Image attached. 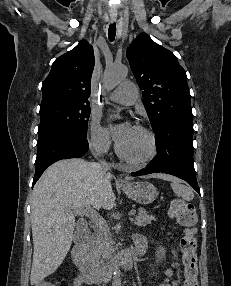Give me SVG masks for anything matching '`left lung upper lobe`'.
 <instances>
[{"instance_id":"5c2ea615","label":"left lung upper lobe","mask_w":231,"mask_h":286,"mask_svg":"<svg viewBox=\"0 0 231 286\" xmlns=\"http://www.w3.org/2000/svg\"><path fill=\"white\" fill-rule=\"evenodd\" d=\"M127 58L143 103L156 132L170 119L192 120L187 76L175 55L141 33L127 50Z\"/></svg>"}]
</instances>
